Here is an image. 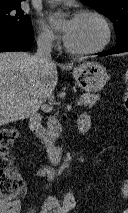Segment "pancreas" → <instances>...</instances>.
I'll use <instances>...</instances> for the list:
<instances>
[{
    "instance_id": "pancreas-1",
    "label": "pancreas",
    "mask_w": 128,
    "mask_h": 213,
    "mask_svg": "<svg viewBox=\"0 0 128 213\" xmlns=\"http://www.w3.org/2000/svg\"><path fill=\"white\" fill-rule=\"evenodd\" d=\"M99 99H100L99 95L86 93L81 96L80 105H83L84 107H93L95 105L96 101ZM61 129L62 128H61L58 120L56 119V117L55 116L49 117L48 131H50L54 137L59 136V131H61Z\"/></svg>"
}]
</instances>
